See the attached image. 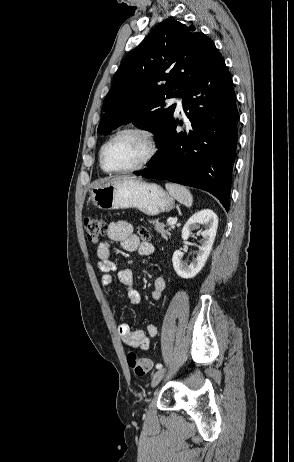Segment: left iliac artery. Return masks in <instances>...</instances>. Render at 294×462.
I'll use <instances>...</instances> for the list:
<instances>
[{"mask_svg":"<svg viewBox=\"0 0 294 462\" xmlns=\"http://www.w3.org/2000/svg\"><path fill=\"white\" fill-rule=\"evenodd\" d=\"M162 367H163L162 364H157V365H156V368H157V369H162Z\"/></svg>","mask_w":294,"mask_h":462,"instance_id":"44dca946","label":"left iliac artery"}]
</instances>
